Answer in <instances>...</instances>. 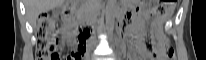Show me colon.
<instances>
[{
  "instance_id": "1",
  "label": "colon",
  "mask_w": 206,
  "mask_h": 60,
  "mask_svg": "<svg viewBox=\"0 0 206 60\" xmlns=\"http://www.w3.org/2000/svg\"><path fill=\"white\" fill-rule=\"evenodd\" d=\"M175 4L176 1L174 0H166L158 12L166 14L173 9ZM36 32L38 37L36 46L37 60H80L81 54L85 50L87 35L81 33L79 35L78 51L68 56H62L58 49V29L53 18L47 13L40 15ZM147 48L155 59L172 60L174 58V51L164 38L158 43L149 40Z\"/></svg>"
}]
</instances>
